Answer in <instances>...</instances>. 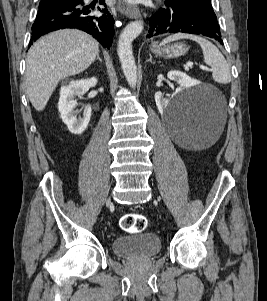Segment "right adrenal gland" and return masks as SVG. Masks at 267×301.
Returning a JSON list of instances; mask_svg holds the SVG:
<instances>
[{
	"label": "right adrenal gland",
	"instance_id": "1",
	"mask_svg": "<svg viewBox=\"0 0 267 301\" xmlns=\"http://www.w3.org/2000/svg\"><path fill=\"white\" fill-rule=\"evenodd\" d=\"M96 60H99L100 62H102V59L100 58V55H99V51H98V53H97ZM96 60H95V61H96Z\"/></svg>",
	"mask_w": 267,
	"mask_h": 301
}]
</instances>
